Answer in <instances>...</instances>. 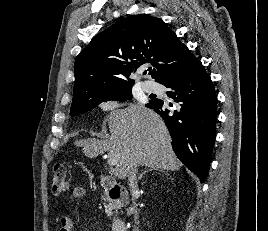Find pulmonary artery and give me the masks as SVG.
<instances>
[{
  "instance_id": "e3ab8cb5",
  "label": "pulmonary artery",
  "mask_w": 268,
  "mask_h": 231,
  "mask_svg": "<svg viewBox=\"0 0 268 231\" xmlns=\"http://www.w3.org/2000/svg\"><path fill=\"white\" fill-rule=\"evenodd\" d=\"M142 89L145 91V92H148V93H152L155 91V86L149 82H145L142 86Z\"/></svg>"
}]
</instances>
